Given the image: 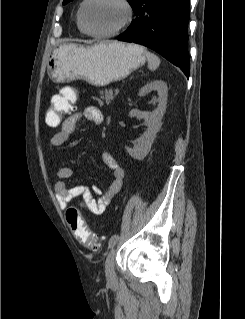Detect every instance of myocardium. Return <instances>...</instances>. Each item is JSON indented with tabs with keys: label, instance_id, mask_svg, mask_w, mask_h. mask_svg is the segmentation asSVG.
<instances>
[{
	"label": "myocardium",
	"instance_id": "myocardium-1",
	"mask_svg": "<svg viewBox=\"0 0 245 319\" xmlns=\"http://www.w3.org/2000/svg\"><path fill=\"white\" fill-rule=\"evenodd\" d=\"M94 0H84L81 7H80V13H79V20H80V25L83 29V31L94 38H98V39H107V38H111L114 37L116 35H118L119 33H121L133 20L134 18V8L132 6V4L130 3L129 0H113L114 2L120 4L124 11H125V18L122 21V23L116 27L115 29L109 31V32H92L88 29L86 22H85V12H86V8L87 6L93 2Z\"/></svg>",
	"mask_w": 245,
	"mask_h": 319
}]
</instances>
